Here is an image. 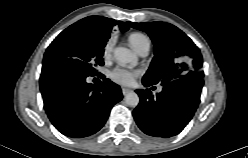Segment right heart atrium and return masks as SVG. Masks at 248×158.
<instances>
[{
  "label": "right heart atrium",
  "mask_w": 248,
  "mask_h": 158,
  "mask_svg": "<svg viewBox=\"0 0 248 158\" xmlns=\"http://www.w3.org/2000/svg\"><path fill=\"white\" fill-rule=\"evenodd\" d=\"M111 52H112V42L111 40H109L104 46V50H103L104 57L105 58L110 57Z\"/></svg>",
  "instance_id": "obj_1"
}]
</instances>
